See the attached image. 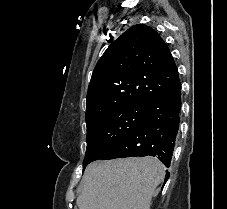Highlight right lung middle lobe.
<instances>
[{"label": "right lung middle lobe", "mask_w": 227, "mask_h": 209, "mask_svg": "<svg viewBox=\"0 0 227 209\" xmlns=\"http://www.w3.org/2000/svg\"><path fill=\"white\" fill-rule=\"evenodd\" d=\"M102 111L86 119L87 149L85 167L100 160L129 134L142 120L147 104L143 102L108 98L101 101Z\"/></svg>", "instance_id": "1"}]
</instances>
